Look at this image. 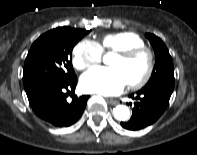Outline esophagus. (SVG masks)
Segmentation results:
<instances>
[{
  "label": "esophagus",
  "instance_id": "1",
  "mask_svg": "<svg viewBox=\"0 0 197 155\" xmlns=\"http://www.w3.org/2000/svg\"><path fill=\"white\" fill-rule=\"evenodd\" d=\"M111 105H116L118 102L116 100H108Z\"/></svg>",
  "mask_w": 197,
  "mask_h": 155
}]
</instances>
